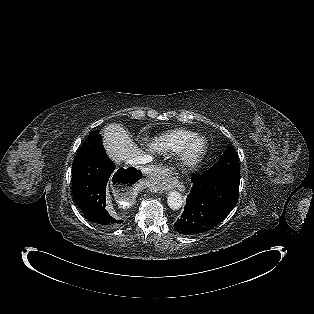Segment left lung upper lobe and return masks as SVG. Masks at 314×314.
Here are the masks:
<instances>
[{"instance_id":"1","label":"left lung upper lobe","mask_w":314,"mask_h":314,"mask_svg":"<svg viewBox=\"0 0 314 314\" xmlns=\"http://www.w3.org/2000/svg\"><path fill=\"white\" fill-rule=\"evenodd\" d=\"M208 174H240L239 160L233 146H228L220 159L207 171Z\"/></svg>"}]
</instances>
